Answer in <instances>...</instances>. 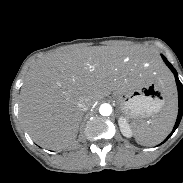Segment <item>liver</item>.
<instances>
[{
	"label": "liver",
	"mask_w": 183,
	"mask_h": 183,
	"mask_svg": "<svg viewBox=\"0 0 183 183\" xmlns=\"http://www.w3.org/2000/svg\"><path fill=\"white\" fill-rule=\"evenodd\" d=\"M150 64L168 88V74L145 51L117 46L74 48L44 56L29 68L20 92L26 130L39 145L58 150L72 144L83 111L111 94H122L133 82V69Z\"/></svg>",
	"instance_id": "1"
}]
</instances>
